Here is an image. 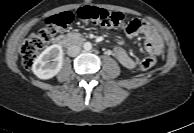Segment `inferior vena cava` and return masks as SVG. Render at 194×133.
<instances>
[{
    "mask_svg": "<svg viewBox=\"0 0 194 133\" xmlns=\"http://www.w3.org/2000/svg\"><path fill=\"white\" fill-rule=\"evenodd\" d=\"M81 51V48L77 45H72L70 47H68L67 49V54L71 57H75L77 56Z\"/></svg>",
    "mask_w": 194,
    "mask_h": 133,
    "instance_id": "602c4592",
    "label": "inferior vena cava"
}]
</instances>
